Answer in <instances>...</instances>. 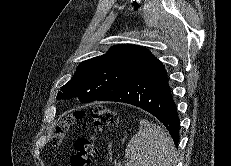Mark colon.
<instances>
[{"label": "colon", "mask_w": 231, "mask_h": 166, "mask_svg": "<svg viewBox=\"0 0 231 166\" xmlns=\"http://www.w3.org/2000/svg\"><path fill=\"white\" fill-rule=\"evenodd\" d=\"M93 127L95 133L110 127L116 122L115 113L107 106L96 105L91 110ZM83 117L82 111H75L72 115L64 118L56 127L52 138V144L60 148L68 134L71 124ZM97 152L96 134L80 137L75 143V153L71 157V166H91L94 156Z\"/></svg>", "instance_id": "obj_1"}]
</instances>
